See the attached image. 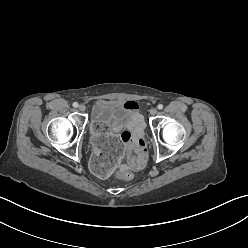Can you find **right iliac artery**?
Instances as JSON below:
<instances>
[{"label":"right iliac artery","instance_id":"1","mask_svg":"<svg viewBox=\"0 0 248 248\" xmlns=\"http://www.w3.org/2000/svg\"><path fill=\"white\" fill-rule=\"evenodd\" d=\"M73 107H75V108L78 107V103L77 102H74L73 103Z\"/></svg>","mask_w":248,"mask_h":248}]
</instances>
